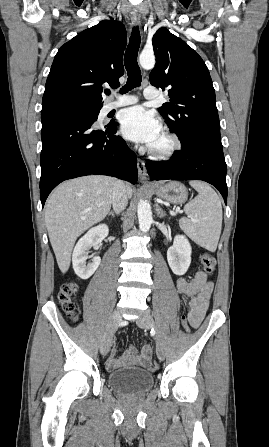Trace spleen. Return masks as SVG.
Segmentation results:
<instances>
[{
  "label": "spleen",
  "instance_id": "obj_1",
  "mask_svg": "<svg viewBox=\"0 0 269 447\" xmlns=\"http://www.w3.org/2000/svg\"><path fill=\"white\" fill-rule=\"evenodd\" d=\"M189 184L198 192V196L184 206V212L191 220L181 218L179 225L197 245L215 251L222 225L221 200L209 184L199 180Z\"/></svg>",
  "mask_w": 269,
  "mask_h": 447
}]
</instances>
